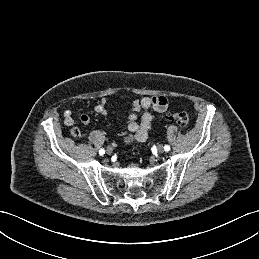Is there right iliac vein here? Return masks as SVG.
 I'll list each match as a JSON object with an SVG mask.
<instances>
[{
    "instance_id": "right-iliac-vein-1",
    "label": "right iliac vein",
    "mask_w": 259,
    "mask_h": 259,
    "mask_svg": "<svg viewBox=\"0 0 259 259\" xmlns=\"http://www.w3.org/2000/svg\"><path fill=\"white\" fill-rule=\"evenodd\" d=\"M112 152H113V148L110 147V146H108V147L106 148V153H107L108 155H111Z\"/></svg>"
}]
</instances>
